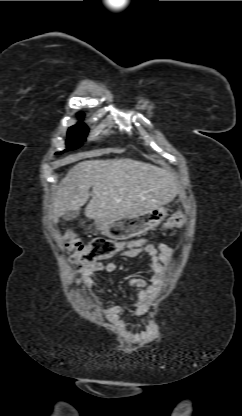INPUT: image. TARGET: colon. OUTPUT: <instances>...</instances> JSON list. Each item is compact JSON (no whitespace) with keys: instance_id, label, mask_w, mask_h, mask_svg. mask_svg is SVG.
<instances>
[{"instance_id":"5ec220e1","label":"colon","mask_w":242,"mask_h":416,"mask_svg":"<svg viewBox=\"0 0 242 416\" xmlns=\"http://www.w3.org/2000/svg\"><path fill=\"white\" fill-rule=\"evenodd\" d=\"M185 222L184 214L175 213L168 218L163 228L164 230L178 228L184 225ZM65 240V246L71 254L72 260L82 265L94 264L109 259L118 253L135 249L145 243L142 238L130 241H115L105 237H97L90 243H84L71 232L65 234Z\"/></svg>"}]
</instances>
